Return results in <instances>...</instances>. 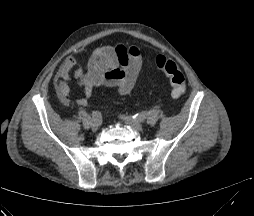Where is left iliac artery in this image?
I'll use <instances>...</instances> for the list:
<instances>
[{
	"label": "left iliac artery",
	"instance_id": "44dca946",
	"mask_svg": "<svg viewBox=\"0 0 254 216\" xmlns=\"http://www.w3.org/2000/svg\"><path fill=\"white\" fill-rule=\"evenodd\" d=\"M149 116L148 112H141V113H137L135 114L133 117V119L137 120V121H144L145 119H147Z\"/></svg>",
	"mask_w": 254,
	"mask_h": 216
}]
</instances>
